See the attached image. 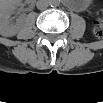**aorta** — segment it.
<instances>
[{
	"instance_id": "aorta-1",
	"label": "aorta",
	"mask_w": 103,
	"mask_h": 103,
	"mask_svg": "<svg viewBox=\"0 0 103 103\" xmlns=\"http://www.w3.org/2000/svg\"><path fill=\"white\" fill-rule=\"evenodd\" d=\"M50 4H51L52 6H56V5H57V2H56V1H51Z\"/></svg>"
}]
</instances>
